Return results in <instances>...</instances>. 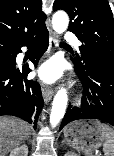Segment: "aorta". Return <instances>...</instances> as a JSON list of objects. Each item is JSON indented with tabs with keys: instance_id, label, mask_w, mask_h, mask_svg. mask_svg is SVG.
<instances>
[{
	"instance_id": "1",
	"label": "aorta",
	"mask_w": 114,
	"mask_h": 156,
	"mask_svg": "<svg viewBox=\"0 0 114 156\" xmlns=\"http://www.w3.org/2000/svg\"><path fill=\"white\" fill-rule=\"evenodd\" d=\"M69 24V17L64 11H57L52 17V27L55 32L62 34ZM68 102L67 91L61 88L55 95L50 114V124L56 127L63 118Z\"/></svg>"
}]
</instances>
